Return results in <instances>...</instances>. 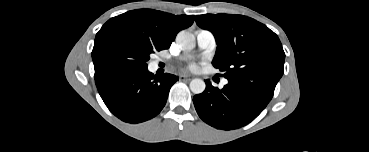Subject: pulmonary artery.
I'll return each mask as SVG.
<instances>
[{
    "instance_id": "pulmonary-artery-1",
    "label": "pulmonary artery",
    "mask_w": 369,
    "mask_h": 152,
    "mask_svg": "<svg viewBox=\"0 0 369 152\" xmlns=\"http://www.w3.org/2000/svg\"><path fill=\"white\" fill-rule=\"evenodd\" d=\"M197 45L199 49L206 52H211L216 46V39L214 34L209 30H200L197 32ZM223 85L228 83L227 80H223Z\"/></svg>"
}]
</instances>
